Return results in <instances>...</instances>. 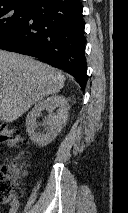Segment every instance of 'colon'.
<instances>
[{
    "label": "colon",
    "mask_w": 128,
    "mask_h": 213,
    "mask_svg": "<svg viewBox=\"0 0 128 213\" xmlns=\"http://www.w3.org/2000/svg\"><path fill=\"white\" fill-rule=\"evenodd\" d=\"M0 141L19 149H24L27 146V141L22 137L20 131L3 122H0ZM24 156H26V153L22 151L18 158ZM25 174V167L17 162L0 166V203H8L21 197L22 187L20 179Z\"/></svg>",
    "instance_id": "colon-1"
}]
</instances>
